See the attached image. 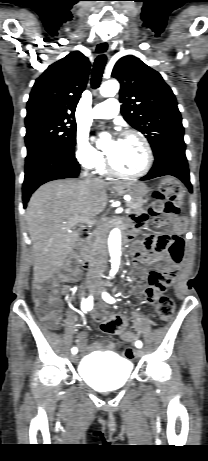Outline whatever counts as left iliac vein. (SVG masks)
Returning <instances> with one entry per match:
<instances>
[{"label":"left iliac vein","instance_id":"4c4485c4","mask_svg":"<svg viewBox=\"0 0 208 461\" xmlns=\"http://www.w3.org/2000/svg\"><path fill=\"white\" fill-rule=\"evenodd\" d=\"M143 354H144V351H143L142 349H137V350H136V356H137V357H142Z\"/></svg>","mask_w":208,"mask_h":461}]
</instances>
